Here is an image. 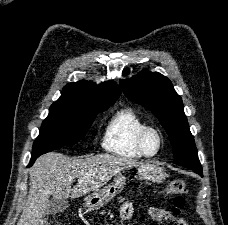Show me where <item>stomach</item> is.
<instances>
[{"label": "stomach", "mask_w": 228, "mask_h": 225, "mask_svg": "<svg viewBox=\"0 0 228 225\" xmlns=\"http://www.w3.org/2000/svg\"><path fill=\"white\" fill-rule=\"evenodd\" d=\"M137 173L139 177L149 179V181H156V183H160V181L164 179L163 173H161L159 167H155V165H141V167H138ZM124 187L125 177L122 173H119V175H116L115 179H113V183H110L107 187H102V189H98V191H94V193L85 197V205L88 209L103 207L105 203H108L113 197L119 195Z\"/></svg>", "instance_id": "0dacf381"}]
</instances>
